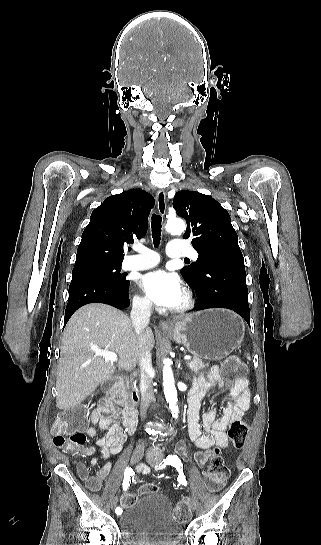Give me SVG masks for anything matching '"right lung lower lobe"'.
Returning a JSON list of instances; mask_svg holds the SVG:
<instances>
[{
  "label": "right lung lower lobe",
  "instance_id": "1",
  "mask_svg": "<svg viewBox=\"0 0 321 545\" xmlns=\"http://www.w3.org/2000/svg\"><path fill=\"white\" fill-rule=\"evenodd\" d=\"M129 283V281L122 284L116 283L93 275L72 276L64 324L78 308L89 303L109 304L118 309L128 307L130 305Z\"/></svg>",
  "mask_w": 321,
  "mask_h": 545
}]
</instances>
